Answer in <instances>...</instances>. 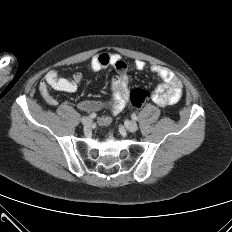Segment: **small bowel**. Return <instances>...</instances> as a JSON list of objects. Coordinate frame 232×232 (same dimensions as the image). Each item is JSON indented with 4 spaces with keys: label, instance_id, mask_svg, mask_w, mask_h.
<instances>
[{
    "label": "small bowel",
    "instance_id": "obj_1",
    "mask_svg": "<svg viewBox=\"0 0 232 232\" xmlns=\"http://www.w3.org/2000/svg\"><path fill=\"white\" fill-rule=\"evenodd\" d=\"M108 66L116 70V75L111 81V90L113 92L112 100L107 103L97 100H84L78 103L77 107L79 110L94 112L107 108L112 113L117 114L125 108L130 94L129 65L119 55L105 52L96 54L90 61V70L92 72H98ZM134 68L138 71H143L146 69V64L142 60H136L134 62ZM150 70L162 80V83L153 92L154 103L161 107L177 103L183 92L181 80L173 71L161 65H152ZM82 80L83 74L81 72L74 73L71 77L65 78L61 77L55 70H51L39 84V91L49 105L55 106L58 104V101L50 93V88L61 92L73 93L77 90ZM111 121V116L103 115L98 119V124L105 126L110 124Z\"/></svg>",
    "mask_w": 232,
    "mask_h": 232
}]
</instances>
